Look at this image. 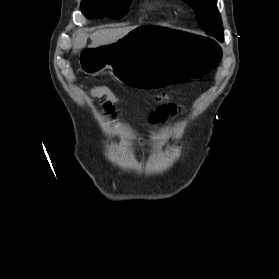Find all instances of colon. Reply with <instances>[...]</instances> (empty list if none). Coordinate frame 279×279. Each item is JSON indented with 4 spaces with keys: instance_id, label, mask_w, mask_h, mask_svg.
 <instances>
[{
    "instance_id": "obj_1",
    "label": "colon",
    "mask_w": 279,
    "mask_h": 279,
    "mask_svg": "<svg viewBox=\"0 0 279 279\" xmlns=\"http://www.w3.org/2000/svg\"><path fill=\"white\" fill-rule=\"evenodd\" d=\"M87 93L91 96H95L106 100L111 103H116L119 101L118 95L109 87L103 85H92L87 89ZM175 97V93H163L162 95L156 96L154 103L159 104H168L172 103L171 100Z\"/></svg>"
}]
</instances>
